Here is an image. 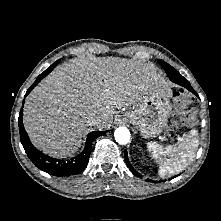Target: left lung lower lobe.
Wrapping results in <instances>:
<instances>
[{
	"mask_svg": "<svg viewBox=\"0 0 221 221\" xmlns=\"http://www.w3.org/2000/svg\"><path fill=\"white\" fill-rule=\"evenodd\" d=\"M174 83L180 85V86H183L185 88H187L189 91H191L192 93H194L196 96L197 93L194 91V89L192 88V86L190 85L189 81L184 78L183 76H181L180 78L178 79H174L172 80ZM124 156H125V161H126V164L128 166V168L130 169V171L135 175V176H140V174L132 167V165L130 164L129 162V159H128V155H127V151H125L124 153ZM147 181H151V180H147Z\"/></svg>",
	"mask_w": 221,
	"mask_h": 221,
	"instance_id": "left-lung-lower-lobe-1",
	"label": "left lung lower lobe"
}]
</instances>
